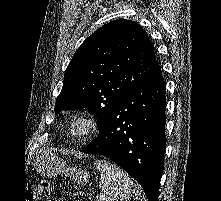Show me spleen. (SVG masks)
Returning a JSON list of instances; mask_svg holds the SVG:
<instances>
[{"label": "spleen", "instance_id": "3e777b00", "mask_svg": "<svg viewBox=\"0 0 221 201\" xmlns=\"http://www.w3.org/2000/svg\"><path fill=\"white\" fill-rule=\"evenodd\" d=\"M94 165L101 177L97 201H127L131 197L137 198L136 186L122 168L105 160H96Z\"/></svg>", "mask_w": 221, "mask_h": 201}]
</instances>
